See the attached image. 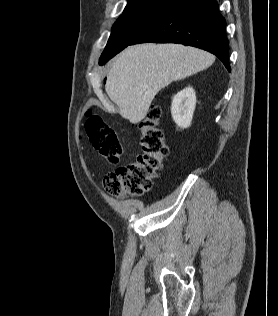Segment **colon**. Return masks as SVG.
Listing matches in <instances>:
<instances>
[{
	"label": "colon",
	"mask_w": 278,
	"mask_h": 316,
	"mask_svg": "<svg viewBox=\"0 0 278 316\" xmlns=\"http://www.w3.org/2000/svg\"><path fill=\"white\" fill-rule=\"evenodd\" d=\"M161 113L160 107L153 105L139 123L143 153L134 162L119 166L104 177L103 187L108 194L140 196L152 187L168 154L163 132L159 128ZM85 134L108 163H119L123 153L119 134L100 116L93 113L87 116Z\"/></svg>",
	"instance_id": "obj_1"
}]
</instances>
